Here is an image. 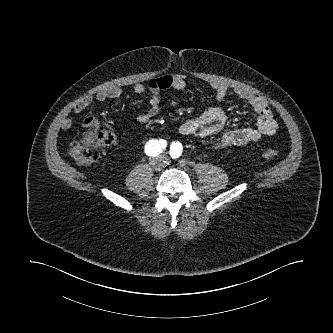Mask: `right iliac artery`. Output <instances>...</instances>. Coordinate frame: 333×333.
<instances>
[{"label":"right iliac artery","instance_id":"1","mask_svg":"<svg viewBox=\"0 0 333 333\" xmlns=\"http://www.w3.org/2000/svg\"><path fill=\"white\" fill-rule=\"evenodd\" d=\"M167 146V142L166 140H149L146 145H145V153L148 156H158L161 152L162 149L165 148Z\"/></svg>","mask_w":333,"mask_h":333}]
</instances>
